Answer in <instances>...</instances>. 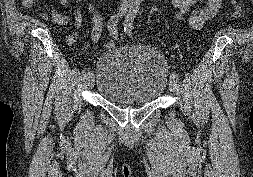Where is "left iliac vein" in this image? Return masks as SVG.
<instances>
[{
  "label": "left iliac vein",
  "mask_w": 253,
  "mask_h": 177,
  "mask_svg": "<svg viewBox=\"0 0 253 177\" xmlns=\"http://www.w3.org/2000/svg\"><path fill=\"white\" fill-rule=\"evenodd\" d=\"M169 89L171 92H175L177 89V82L171 79L169 82Z\"/></svg>",
  "instance_id": "4c4485c4"
}]
</instances>
